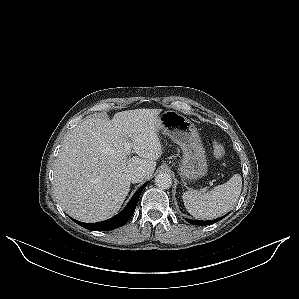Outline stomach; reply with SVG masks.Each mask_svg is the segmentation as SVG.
<instances>
[{
  "label": "stomach",
  "mask_w": 299,
  "mask_h": 299,
  "mask_svg": "<svg viewBox=\"0 0 299 299\" xmlns=\"http://www.w3.org/2000/svg\"><path fill=\"white\" fill-rule=\"evenodd\" d=\"M158 130L181 147L183 158L179 173L183 180L193 181L206 175V151L195 125L177 111L168 110L158 116Z\"/></svg>",
  "instance_id": "obj_1"
}]
</instances>
